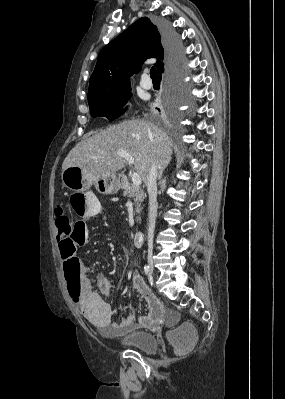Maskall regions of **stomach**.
<instances>
[{
  "mask_svg": "<svg viewBox=\"0 0 285 399\" xmlns=\"http://www.w3.org/2000/svg\"><path fill=\"white\" fill-rule=\"evenodd\" d=\"M61 178L63 185L75 192H86L92 185L102 194H115L120 189V181L116 174L91 177L76 166L63 170Z\"/></svg>",
  "mask_w": 285,
  "mask_h": 399,
  "instance_id": "obj_1",
  "label": "stomach"
}]
</instances>
